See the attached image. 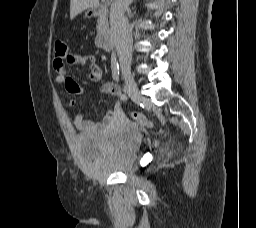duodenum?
Wrapping results in <instances>:
<instances>
[{
    "instance_id": "obj_1",
    "label": "duodenum",
    "mask_w": 256,
    "mask_h": 228,
    "mask_svg": "<svg viewBox=\"0 0 256 228\" xmlns=\"http://www.w3.org/2000/svg\"><path fill=\"white\" fill-rule=\"evenodd\" d=\"M104 11V5L101 3L94 4L90 9V13L94 17L101 16L104 13ZM96 41L98 46L104 50L109 51L113 47V39L109 30H101L97 35Z\"/></svg>"
}]
</instances>
